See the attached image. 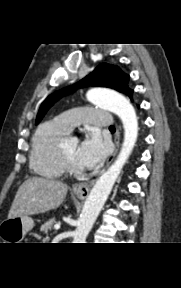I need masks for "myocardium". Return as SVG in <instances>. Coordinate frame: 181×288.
I'll use <instances>...</instances> for the list:
<instances>
[{"label":"myocardium","mask_w":181,"mask_h":288,"mask_svg":"<svg viewBox=\"0 0 181 288\" xmlns=\"http://www.w3.org/2000/svg\"><path fill=\"white\" fill-rule=\"evenodd\" d=\"M59 155H60V159H61L67 172H69L71 174H78L81 172V169L79 167H77L76 165H74V163L65 154V152L63 150V144L62 143H60V145H59Z\"/></svg>","instance_id":"f54148a6"}]
</instances>
